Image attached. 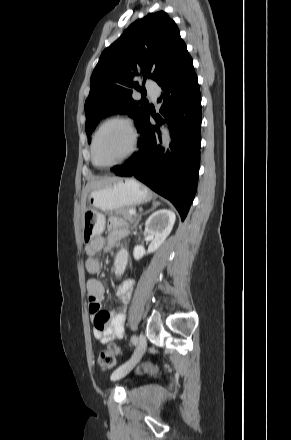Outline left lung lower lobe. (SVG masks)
Here are the masks:
<instances>
[{
  "label": "left lung lower lobe",
  "instance_id": "obj_1",
  "mask_svg": "<svg viewBox=\"0 0 291 440\" xmlns=\"http://www.w3.org/2000/svg\"><path fill=\"white\" fill-rule=\"evenodd\" d=\"M164 90L160 113L172 132L171 151L163 155L157 141L160 130L152 126L147 112L138 132L139 151L129 162L114 166L111 171L118 176H134L158 194L170 200L183 221L194 199L199 173L201 142V95L194 71L193 60L186 52L172 70L158 83ZM158 126L161 116L155 117Z\"/></svg>",
  "mask_w": 291,
  "mask_h": 440
}]
</instances>
